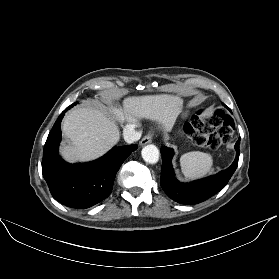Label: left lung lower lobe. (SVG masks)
<instances>
[{"mask_svg": "<svg viewBox=\"0 0 279 279\" xmlns=\"http://www.w3.org/2000/svg\"><path fill=\"white\" fill-rule=\"evenodd\" d=\"M188 128L189 124L187 123L184 125V129L187 130ZM239 144L240 138L235 144L236 158L230 167L214 176L190 183H181L175 178L171 163L174 155L173 149L163 146L161 148L163 160L160 179L161 187L171 199L181 204L191 205L207 200L222 190L235 172L239 160Z\"/></svg>", "mask_w": 279, "mask_h": 279, "instance_id": "1", "label": "left lung lower lobe"}]
</instances>
